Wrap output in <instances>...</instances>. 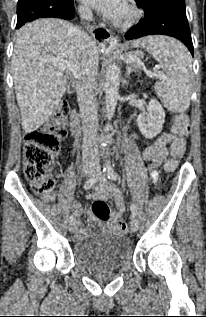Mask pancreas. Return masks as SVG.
Instances as JSON below:
<instances>
[{"mask_svg":"<svg viewBox=\"0 0 206 317\" xmlns=\"http://www.w3.org/2000/svg\"><path fill=\"white\" fill-rule=\"evenodd\" d=\"M131 66L134 69V71H140V70L143 69V67L140 64H137V63L132 64Z\"/></svg>","mask_w":206,"mask_h":317,"instance_id":"cf45deb5","label":"pancreas"}]
</instances>
